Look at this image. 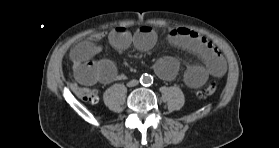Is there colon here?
Instances as JSON below:
<instances>
[{"mask_svg":"<svg viewBox=\"0 0 279 148\" xmlns=\"http://www.w3.org/2000/svg\"><path fill=\"white\" fill-rule=\"evenodd\" d=\"M216 91V84L214 82L208 83L204 88L198 91V96L200 98H206L212 96ZM77 95L86 102L96 103L98 101L97 93L86 87H77L76 88Z\"/></svg>","mask_w":279,"mask_h":148,"instance_id":"5ec220e1","label":"colon"}]
</instances>
